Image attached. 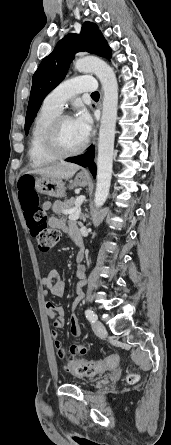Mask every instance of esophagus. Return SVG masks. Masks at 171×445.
I'll use <instances>...</instances> for the list:
<instances>
[{
    "instance_id": "esophagus-1",
    "label": "esophagus",
    "mask_w": 171,
    "mask_h": 445,
    "mask_svg": "<svg viewBox=\"0 0 171 445\" xmlns=\"http://www.w3.org/2000/svg\"><path fill=\"white\" fill-rule=\"evenodd\" d=\"M82 173H83V174H88V170H87V169H84V170H82Z\"/></svg>"
}]
</instances>
